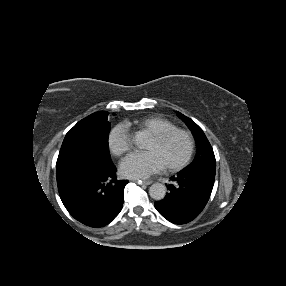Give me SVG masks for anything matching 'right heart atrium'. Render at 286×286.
I'll return each instance as SVG.
<instances>
[{
  "instance_id": "1",
  "label": "right heart atrium",
  "mask_w": 286,
  "mask_h": 286,
  "mask_svg": "<svg viewBox=\"0 0 286 286\" xmlns=\"http://www.w3.org/2000/svg\"><path fill=\"white\" fill-rule=\"evenodd\" d=\"M107 145L110 152L121 157L132 150V141L127 128L123 125L114 126L108 133Z\"/></svg>"
}]
</instances>
